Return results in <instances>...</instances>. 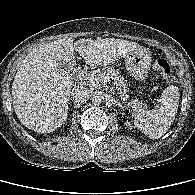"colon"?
<instances>
[{
	"label": "colon",
	"instance_id": "colon-1",
	"mask_svg": "<svg viewBox=\"0 0 195 195\" xmlns=\"http://www.w3.org/2000/svg\"><path fill=\"white\" fill-rule=\"evenodd\" d=\"M153 69L161 73L165 79V81L169 84H173L176 81L175 76L173 75V68L170 61L166 58L159 57L154 60Z\"/></svg>",
	"mask_w": 195,
	"mask_h": 195
}]
</instances>
